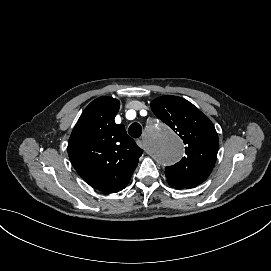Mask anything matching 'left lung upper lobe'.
<instances>
[{
  "label": "left lung upper lobe",
  "mask_w": 271,
  "mask_h": 271,
  "mask_svg": "<svg viewBox=\"0 0 271 271\" xmlns=\"http://www.w3.org/2000/svg\"><path fill=\"white\" fill-rule=\"evenodd\" d=\"M153 113L183 140L185 156L165 168L167 181L194 188L210 175L217 158L219 139L213 123L192 103L177 96H161L151 102Z\"/></svg>",
  "instance_id": "obj_1"
}]
</instances>
